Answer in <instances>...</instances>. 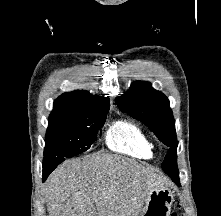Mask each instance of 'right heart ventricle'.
<instances>
[{"instance_id":"right-heart-ventricle-1","label":"right heart ventricle","mask_w":221,"mask_h":216,"mask_svg":"<svg viewBox=\"0 0 221 216\" xmlns=\"http://www.w3.org/2000/svg\"><path fill=\"white\" fill-rule=\"evenodd\" d=\"M105 144L115 152L150 158L154 145L140 125L128 119L115 121L105 132Z\"/></svg>"}]
</instances>
